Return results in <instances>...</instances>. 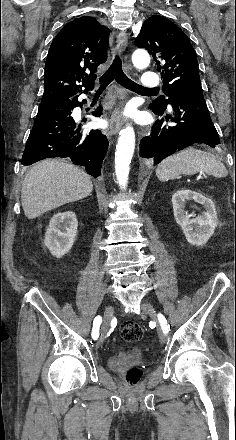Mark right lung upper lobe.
<instances>
[{"instance_id":"obj_1","label":"right lung upper lobe","mask_w":236,"mask_h":440,"mask_svg":"<svg viewBox=\"0 0 236 440\" xmlns=\"http://www.w3.org/2000/svg\"><path fill=\"white\" fill-rule=\"evenodd\" d=\"M109 33L89 16L76 18L61 29L46 59L41 102L70 99L93 90L95 72L107 59Z\"/></svg>"}]
</instances>
